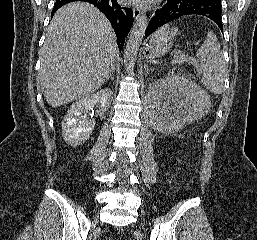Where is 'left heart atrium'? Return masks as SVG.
Masks as SVG:
<instances>
[{
  "instance_id": "left-heart-atrium-1",
  "label": "left heart atrium",
  "mask_w": 257,
  "mask_h": 240,
  "mask_svg": "<svg viewBox=\"0 0 257 240\" xmlns=\"http://www.w3.org/2000/svg\"><path fill=\"white\" fill-rule=\"evenodd\" d=\"M126 1L136 4V5L145 6V5L152 3L153 0H126Z\"/></svg>"
}]
</instances>
